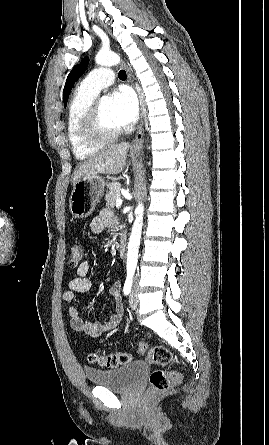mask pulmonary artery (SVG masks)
Returning a JSON list of instances; mask_svg holds the SVG:
<instances>
[{
  "instance_id": "obj_1",
  "label": "pulmonary artery",
  "mask_w": 269,
  "mask_h": 445,
  "mask_svg": "<svg viewBox=\"0 0 269 445\" xmlns=\"http://www.w3.org/2000/svg\"><path fill=\"white\" fill-rule=\"evenodd\" d=\"M114 72L106 67H99L91 71L80 84L84 92L97 96L98 93L114 83Z\"/></svg>"
}]
</instances>
